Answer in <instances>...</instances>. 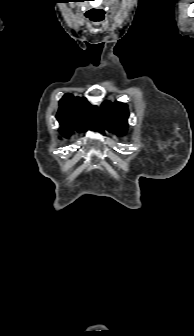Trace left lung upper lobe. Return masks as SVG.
<instances>
[{
    "mask_svg": "<svg viewBox=\"0 0 194 336\" xmlns=\"http://www.w3.org/2000/svg\"><path fill=\"white\" fill-rule=\"evenodd\" d=\"M104 122L108 131L115 130L118 135H123L127 128V105L120 102L105 101L101 105Z\"/></svg>",
    "mask_w": 194,
    "mask_h": 336,
    "instance_id": "obj_1",
    "label": "left lung upper lobe"
}]
</instances>
